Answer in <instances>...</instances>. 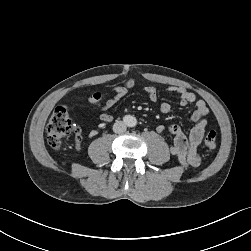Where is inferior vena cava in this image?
Listing matches in <instances>:
<instances>
[{"label": "inferior vena cava", "mask_w": 251, "mask_h": 251, "mask_svg": "<svg viewBox=\"0 0 251 251\" xmlns=\"http://www.w3.org/2000/svg\"><path fill=\"white\" fill-rule=\"evenodd\" d=\"M127 129L126 124L122 121H117L113 125V131L115 133H123Z\"/></svg>", "instance_id": "obj_1"}]
</instances>
